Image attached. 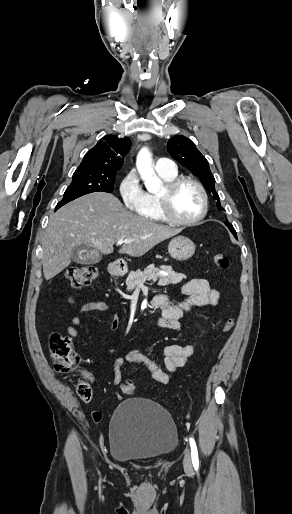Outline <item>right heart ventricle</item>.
<instances>
[{"label":"right heart ventricle","mask_w":292,"mask_h":514,"mask_svg":"<svg viewBox=\"0 0 292 514\" xmlns=\"http://www.w3.org/2000/svg\"><path fill=\"white\" fill-rule=\"evenodd\" d=\"M158 175L161 178V180H163L166 183L173 181L177 178V174L171 177L162 175L160 173H158ZM155 195L156 194H153L151 192H146L145 202L143 206L138 210V213L152 220L165 222L166 220L159 209Z\"/></svg>","instance_id":"e07e8e85"}]
</instances>
